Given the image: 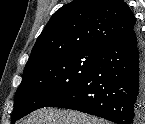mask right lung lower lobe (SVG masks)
<instances>
[{
    "label": "right lung lower lobe",
    "instance_id": "right-lung-lower-lobe-1",
    "mask_svg": "<svg viewBox=\"0 0 145 124\" xmlns=\"http://www.w3.org/2000/svg\"><path fill=\"white\" fill-rule=\"evenodd\" d=\"M145 105V60L135 29L107 46L84 78L45 107L78 110L133 124Z\"/></svg>",
    "mask_w": 145,
    "mask_h": 124
}]
</instances>
